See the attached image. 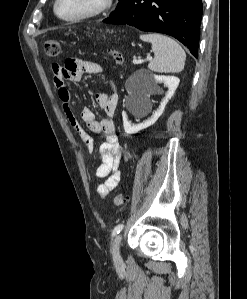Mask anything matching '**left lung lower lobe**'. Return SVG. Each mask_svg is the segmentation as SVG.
<instances>
[{"label":"left lung lower lobe","mask_w":247,"mask_h":299,"mask_svg":"<svg viewBox=\"0 0 247 299\" xmlns=\"http://www.w3.org/2000/svg\"><path fill=\"white\" fill-rule=\"evenodd\" d=\"M201 17L202 0H129L103 22L171 35L197 57Z\"/></svg>","instance_id":"left-lung-lower-lobe-1"}]
</instances>
